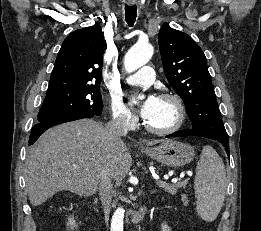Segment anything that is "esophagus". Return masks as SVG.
<instances>
[{"instance_id":"obj_1","label":"esophagus","mask_w":261,"mask_h":231,"mask_svg":"<svg viewBox=\"0 0 261 231\" xmlns=\"http://www.w3.org/2000/svg\"><path fill=\"white\" fill-rule=\"evenodd\" d=\"M134 3H135V0H129L130 5H134Z\"/></svg>"}]
</instances>
